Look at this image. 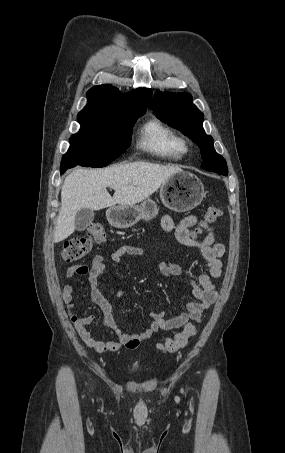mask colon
Listing matches in <instances>:
<instances>
[{"label": "colon", "instance_id": "1", "mask_svg": "<svg viewBox=\"0 0 285 453\" xmlns=\"http://www.w3.org/2000/svg\"><path fill=\"white\" fill-rule=\"evenodd\" d=\"M221 216V210L217 207H209L206 210L204 220L196 233H200L202 229L208 228L216 222ZM106 232L103 225L99 222H93L89 225L85 235L71 238L66 241L61 252L62 259L67 262H77L90 254L95 245L104 243ZM199 322V319L196 320ZM197 333V324L189 323L185 328L177 333L173 338L167 339L165 342L158 345L159 350L164 353H174L187 346L189 340Z\"/></svg>", "mask_w": 285, "mask_h": 453}]
</instances>
